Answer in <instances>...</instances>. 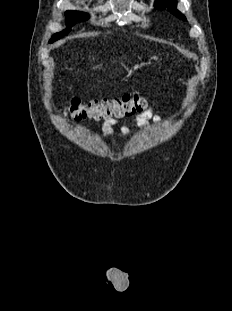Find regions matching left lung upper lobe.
I'll use <instances>...</instances> for the list:
<instances>
[{
    "label": "left lung upper lobe",
    "mask_w": 232,
    "mask_h": 311,
    "mask_svg": "<svg viewBox=\"0 0 232 311\" xmlns=\"http://www.w3.org/2000/svg\"><path fill=\"white\" fill-rule=\"evenodd\" d=\"M156 8L167 7L169 11L180 19L186 20V17L177 10V0H155Z\"/></svg>",
    "instance_id": "5c2ea615"
}]
</instances>
